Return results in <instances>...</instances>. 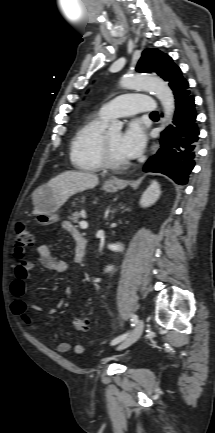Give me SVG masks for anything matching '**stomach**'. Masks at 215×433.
Returning a JSON list of instances; mask_svg holds the SVG:
<instances>
[{"mask_svg": "<svg viewBox=\"0 0 215 433\" xmlns=\"http://www.w3.org/2000/svg\"><path fill=\"white\" fill-rule=\"evenodd\" d=\"M119 189L116 184H105L103 190L106 192H116ZM33 203L37 213V222L46 226L59 220L57 211L61 204L57 201L53 188L44 185L37 188L33 193Z\"/></svg>", "mask_w": 215, "mask_h": 433, "instance_id": "obj_1", "label": "stomach"}]
</instances>
